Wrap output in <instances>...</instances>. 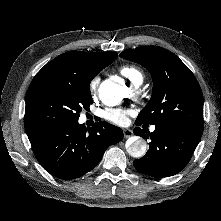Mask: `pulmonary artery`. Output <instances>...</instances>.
I'll use <instances>...</instances> for the list:
<instances>
[{
	"instance_id": "1",
	"label": "pulmonary artery",
	"mask_w": 221,
	"mask_h": 221,
	"mask_svg": "<svg viewBox=\"0 0 221 221\" xmlns=\"http://www.w3.org/2000/svg\"><path fill=\"white\" fill-rule=\"evenodd\" d=\"M151 130L154 131V130H155V127L153 126V127L151 128Z\"/></svg>"
}]
</instances>
